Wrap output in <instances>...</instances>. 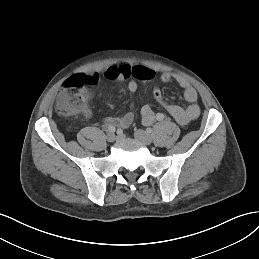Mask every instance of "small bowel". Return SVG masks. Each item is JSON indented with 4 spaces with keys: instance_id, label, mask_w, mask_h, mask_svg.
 Segmentation results:
<instances>
[{
    "instance_id": "obj_1",
    "label": "small bowel",
    "mask_w": 259,
    "mask_h": 259,
    "mask_svg": "<svg viewBox=\"0 0 259 259\" xmlns=\"http://www.w3.org/2000/svg\"><path fill=\"white\" fill-rule=\"evenodd\" d=\"M105 76L109 80H123L127 81L126 90L135 92L138 87V81H151L155 77V73L152 69L142 65H111L105 70ZM173 77L177 80L181 88L183 89L184 99L189 103L185 108L167 103L163 100L161 93L154 98L159 106L172 118H174L180 125L186 126L191 121L195 120L200 115V107L196 104L197 92L190 86V84L182 77L173 76L171 73L165 72L161 75L162 82H169ZM89 85L94 86L99 81V75L97 73L91 74L86 77ZM87 115L91 114V111L86 112ZM134 113L132 110L119 117H107L104 121L105 125H113L119 128H127L133 121ZM141 119L146 125L153 122L154 112L150 106L145 105L141 108Z\"/></svg>"
}]
</instances>
